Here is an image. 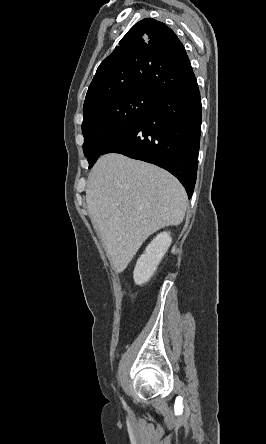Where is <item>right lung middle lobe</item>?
Here are the masks:
<instances>
[{
    "mask_svg": "<svg viewBox=\"0 0 266 444\" xmlns=\"http://www.w3.org/2000/svg\"><path fill=\"white\" fill-rule=\"evenodd\" d=\"M158 96L130 91L107 97L83 111V151L91 168L113 139L137 125L152 110Z\"/></svg>",
    "mask_w": 266,
    "mask_h": 444,
    "instance_id": "1",
    "label": "right lung middle lobe"
}]
</instances>
